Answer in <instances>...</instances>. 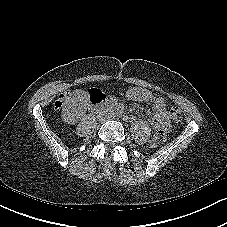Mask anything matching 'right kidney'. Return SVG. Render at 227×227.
<instances>
[{
    "label": "right kidney",
    "instance_id": "1",
    "mask_svg": "<svg viewBox=\"0 0 227 227\" xmlns=\"http://www.w3.org/2000/svg\"><path fill=\"white\" fill-rule=\"evenodd\" d=\"M78 101H80L78 96L68 97L63 108V121L68 122L69 124H74L77 122L82 108V106H78Z\"/></svg>",
    "mask_w": 227,
    "mask_h": 227
}]
</instances>
